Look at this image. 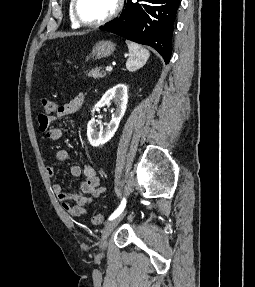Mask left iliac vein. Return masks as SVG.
I'll list each match as a JSON object with an SVG mask.
<instances>
[{
	"mask_svg": "<svg viewBox=\"0 0 255 287\" xmlns=\"http://www.w3.org/2000/svg\"><path fill=\"white\" fill-rule=\"evenodd\" d=\"M125 216V213L117 216L116 218L112 219L111 221H109L105 227L103 228L102 231V238L99 242V246L102 250H104L107 246V238L109 237V235L112 233V231L114 230V228L119 224V222L123 219V217Z\"/></svg>",
	"mask_w": 255,
	"mask_h": 287,
	"instance_id": "1",
	"label": "left iliac vein"
}]
</instances>
